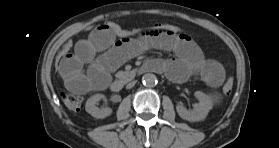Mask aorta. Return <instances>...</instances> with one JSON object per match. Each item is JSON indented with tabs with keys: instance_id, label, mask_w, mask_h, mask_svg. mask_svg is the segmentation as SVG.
<instances>
[{
	"instance_id": "1",
	"label": "aorta",
	"mask_w": 279,
	"mask_h": 148,
	"mask_svg": "<svg viewBox=\"0 0 279 148\" xmlns=\"http://www.w3.org/2000/svg\"><path fill=\"white\" fill-rule=\"evenodd\" d=\"M142 82L147 87H154L157 84L158 80L156 75L147 73L142 77Z\"/></svg>"
}]
</instances>
